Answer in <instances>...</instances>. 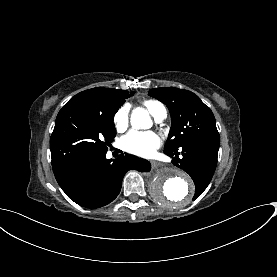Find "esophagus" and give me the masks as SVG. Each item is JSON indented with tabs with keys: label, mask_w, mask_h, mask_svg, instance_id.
I'll list each match as a JSON object with an SVG mask.
<instances>
[{
	"label": "esophagus",
	"mask_w": 277,
	"mask_h": 277,
	"mask_svg": "<svg viewBox=\"0 0 277 277\" xmlns=\"http://www.w3.org/2000/svg\"><path fill=\"white\" fill-rule=\"evenodd\" d=\"M150 162H151V167L153 169H156L160 165V162L155 161V160H151Z\"/></svg>",
	"instance_id": "obj_1"
}]
</instances>
